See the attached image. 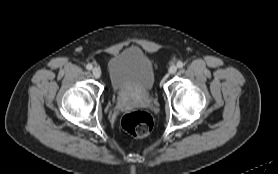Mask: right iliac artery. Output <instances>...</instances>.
<instances>
[{
  "mask_svg": "<svg viewBox=\"0 0 278 174\" xmlns=\"http://www.w3.org/2000/svg\"><path fill=\"white\" fill-rule=\"evenodd\" d=\"M92 68H93V66H92L91 64H87V65H86V69H87V70H92Z\"/></svg>",
  "mask_w": 278,
  "mask_h": 174,
  "instance_id": "right-iliac-artery-1",
  "label": "right iliac artery"
}]
</instances>
